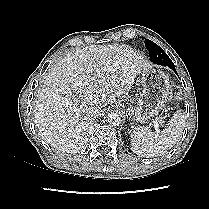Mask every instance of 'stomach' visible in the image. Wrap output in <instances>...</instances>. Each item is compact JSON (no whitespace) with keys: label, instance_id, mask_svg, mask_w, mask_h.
<instances>
[{"label":"stomach","instance_id":"stomach-1","mask_svg":"<svg viewBox=\"0 0 209 209\" xmlns=\"http://www.w3.org/2000/svg\"><path fill=\"white\" fill-rule=\"evenodd\" d=\"M139 82L142 91L137 103L128 108V114L135 122L144 123L165 107L170 83L168 76L159 69H144Z\"/></svg>","mask_w":209,"mask_h":209}]
</instances>
